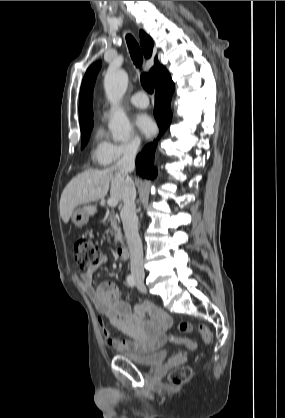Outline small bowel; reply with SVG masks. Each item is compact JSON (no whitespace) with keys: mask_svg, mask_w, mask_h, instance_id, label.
<instances>
[{"mask_svg":"<svg viewBox=\"0 0 285 418\" xmlns=\"http://www.w3.org/2000/svg\"><path fill=\"white\" fill-rule=\"evenodd\" d=\"M107 263V257L101 255L96 263L78 273L77 277L99 314L98 324L109 345L118 351L143 352L160 348L166 342V333L173 324L172 318L163 310L147 302L139 303L132 311L113 282L103 281L94 286L93 274ZM109 327L117 328L137 343L112 337ZM189 341L187 348L195 350L197 343L194 340Z\"/></svg>","mask_w":285,"mask_h":418,"instance_id":"c3829d8e","label":"small bowel"}]
</instances>
